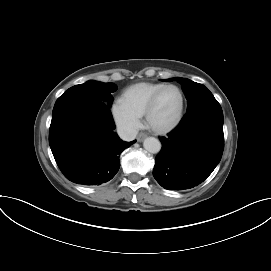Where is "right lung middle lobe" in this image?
Here are the masks:
<instances>
[{
  "label": "right lung middle lobe",
  "instance_id": "right-lung-middle-lobe-1",
  "mask_svg": "<svg viewBox=\"0 0 271 271\" xmlns=\"http://www.w3.org/2000/svg\"><path fill=\"white\" fill-rule=\"evenodd\" d=\"M117 90L112 83H101L88 81L84 84L76 85L66 90L56 101L54 109L66 104H74L87 101H102L112 104L111 93Z\"/></svg>",
  "mask_w": 271,
  "mask_h": 271
}]
</instances>
